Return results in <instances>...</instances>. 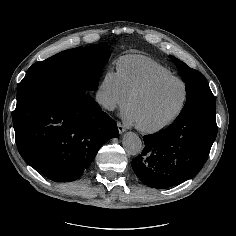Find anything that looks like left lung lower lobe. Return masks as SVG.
<instances>
[{
  "label": "left lung lower lobe",
  "mask_w": 236,
  "mask_h": 236,
  "mask_svg": "<svg viewBox=\"0 0 236 236\" xmlns=\"http://www.w3.org/2000/svg\"><path fill=\"white\" fill-rule=\"evenodd\" d=\"M216 135L215 112L183 113L166 129L143 137L145 147L132 168L149 187L177 185L201 170Z\"/></svg>",
  "instance_id": "0a47b994"
}]
</instances>
